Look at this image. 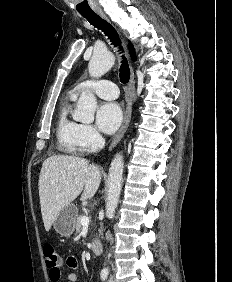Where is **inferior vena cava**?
I'll use <instances>...</instances> for the list:
<instances>
[{"label":"inferior vena cava","mask_w":232,"mask_h":282,"mask_svg":"<svg viewBox=\"0 0 232 282\" xmlns=\"http://www.w3.org/2000/svg\"><path fill=\"white\" fill-rule=\"evenodd\" d=\"M97 143L99 148H102L104 146L105 140L101 135L98 136Z\"/></svg>","instance_id":"obj_1"}]
</instances>
